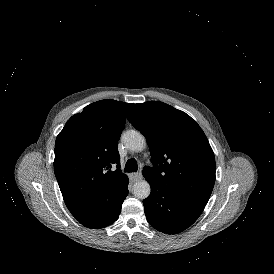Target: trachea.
I'll list each match as a JSON object with an SVG mask.
<instances>
[{
    "instance_id": "trachea-1",
    "label": "trachea",
    "mask_w": 274,
    "mask_h": 274,
    "mask_svg": "<svg viewBox=\"0 0 274 274\" xmlns=\"http://www.w3.org/2000/svg\"><path fill=\"white\" fill-rule=\"evenodd\" d=\"M138 165L134 158L129 159L124 167V172H137Z\"/></svg>"
}]
</instances>
